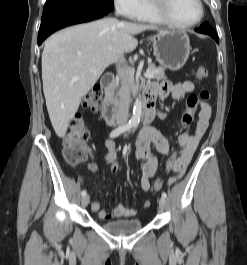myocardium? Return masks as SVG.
I'll use <instances>...</instances> for the list:
<instances>
[{
    "instance_id": "myocardium-1",
    "label": "myocardium",
    "mask_w": 247,
    "mask_h": 265,
    "mask_svg": "<svg viewBox=\"0 0 247 265\" xmlns=\"http://www.w3.org/2000/svg\"><path fill=\"white\" fill-rule=\"evenodd\" d=\"M169 2L170 0H150L153 12L163 23L174 28L187 29L196 26L202 21L205 14V7L202 0H197L199 5L198 17L189 23H179L172 18L169 12Z\"/></svg>"
}]
</instances>
